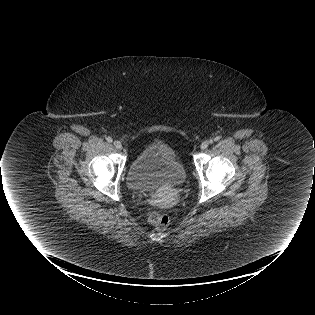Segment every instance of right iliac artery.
I'll return each instance as SVG.
<instances>
[{
    "mask_svg": "<svg viewBox=\"0 0 315 315\" xmlns=\"http://www.w3.org/2000/svg\"><path fill=\"white\" fill-rule=\"evenodd\" d=\"M106 140H107L109 143H111V142L113 141L111 137H107Z\"/></svg>",
    "mask_w": 315,
    "mask_h": 315,
    "instance_id": "82829eb1",
    "label": "right iliac artery"
}]
</instances>
